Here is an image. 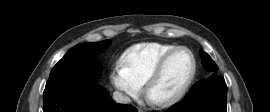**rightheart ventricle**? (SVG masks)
Here are the masks:
<instances>
[{
	"label": "right heart ventricle",
	"instance_id": "obj_1",
	"mask_svg": "<svg viewBox=\"0 0 270 112\" xmlns=\"http://www.w3.org/2000/svg\"><path fill=\"white\" fill-rule=\"evenodd\" d=\"M175 47L177 46L160 42L135 45L124 53L123 65L132 78L143 85L161 58Z\"/></svg>",
	"mask_w": 270,
	"mask_h": 112
}]
</instances>
